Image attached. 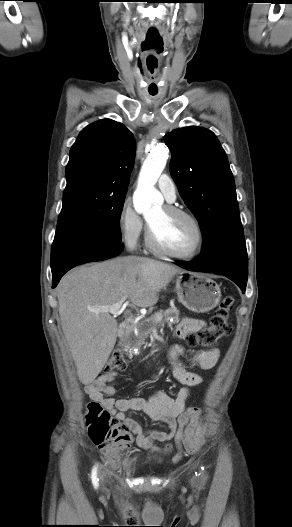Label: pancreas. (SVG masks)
<instances>
[{
	"instance_id": "pancreas-1",
	"label": "pancreas",
	"mask_w": 292,
	"mask_h": 527,
	"mask_svg": "<svg viewBox=\"0 0 292 527\" xmlns=\"http://www.w3.org/2000/svg\"><path fill=\"white\" fill-rule=\"evenodd\" d=\"M158 315L162 316L163 319L157 321ZM179 320V310H177L175 307H172L166 309L165 311H160L148 319L140 321L137 324L138 334L136 338L138 343H144L145 339L148 338L149 334H151L154 329L164 326L165 323H167L169 326H172L173 324L178 323Z\"/></svg>"
}]
</instances>
